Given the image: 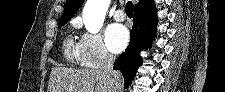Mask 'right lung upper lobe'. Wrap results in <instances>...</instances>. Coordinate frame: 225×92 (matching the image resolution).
<instances>
[{"instance_id": "cb5924a9", "label": "right lung upper lobe", "mask_w": 225, "mask_h": 92, "mask_svg": "<svg viewBox=\"0 0 225 92\" xmlns=\"http://www.w3.org/2000/svg\"><path fill=\"white\" fill-rule=\"evenodd\" d=\"M84 0H69L60 21H69L82 6ZM156 11L155 4L153 0H139L135 5V13L138 14H150Z\"/></svg>"}]
</instances>
